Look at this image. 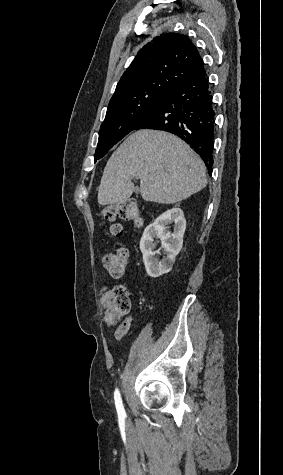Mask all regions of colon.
Instances as JSON below:
<instances>
[{
  "instance_id": "5ec220e1",
  "label": "colon",
  "mask_w": 283,
  "mask_h": 475,
  "mask_svg": "<svg viewBox=\"0 0 283 475\" xmlns=\"http://www.w3.org/2000/svg\"><path fill=\"white\" fill-rule=\"evenodd\" d=\"M100 216L105 223L109 224L108 232L113 237H120L123 234L122 226L118 220L131 221L135 225L142 223V216L134 199L108 206L102 210ZM127 261L128 251L124 247L107 251L102 257L103 265L112 278H120L124 275ZM110 295L111 297L103 299V304L112 306L113 310V315L109 317L107 324L113 323L125 328L131 320L132 313V302L127 287L118 285Z\"/></svg>"
}]
</instances>
